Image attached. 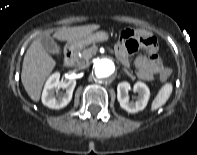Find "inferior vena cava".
<instances>
[{
  "label": "inferior vena cava",
  "mask_w": 197,
  "mask_h": 155,
  "mask_svg": "<svg viewBox=\"0 0 197 155\" xmlns=\"http://www.w3.org/2000/svg\"><path fill=\"white\" fill-rule=\"evenodd\" d=\"M86 66H85V63L84 64H81L79 65V69H84Z\"/></svg>",
  "instance_id": "inferior-vena-cava-1"
}]
</instances>
